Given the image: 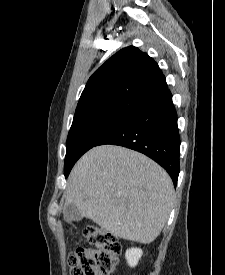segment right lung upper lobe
<instances>
[{
    "label": "right lung upper lobe",
    "instance_id": "obj_1",
    "mask_svg": "<svg viewBox=\"0 0 225 275\" xmlns=\"http://www.w3.org/2000/svg\"><path fill=\"white\" fill-rule=\"evenodd\" d=\"M170 94L158 64L137 47H126L89 78L73 121L103 112L130 113Z\"/></svg>",
    "mask_w": 225,
    "mask_h": 275
}]
</instances>
